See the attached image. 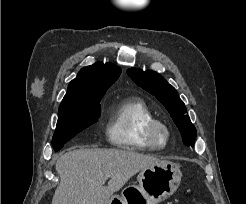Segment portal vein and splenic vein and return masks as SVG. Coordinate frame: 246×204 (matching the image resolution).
Returning a JSON list of instances; mask_svg holds the SVG:
<instances>
[{
    "label": "portal vein and splenic vein",
    "instance_id": "obj_1",
    "mask_svg": "<svg viewBox=\"0 0 246 204\" xmlns=\"http://www.w3.org/2000/svg\"><path fill=\"white\" fill-rule=\"evenodd\" d=\"M109 177H110V175H107V176H106V178H109Z\"/></svg>",
    "mask_w": 246,
    "mask_h": 204
}]
</instances>
